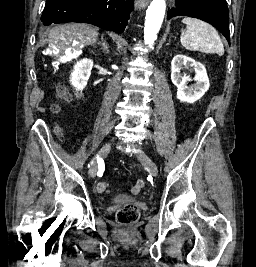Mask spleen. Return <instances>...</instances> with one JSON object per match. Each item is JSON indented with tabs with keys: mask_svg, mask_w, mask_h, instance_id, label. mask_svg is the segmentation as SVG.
Segmentation results:
<instances>
[{
	"mask_svg": "<svg viewBox=\"0 0 256 267\" xmlns=\"http://www.w3.org/2000/svg\"><path fill=\"white\" fill-rule=\"evenodd\" d=\"M185 30H181V44L190 52H203V54H218L223 56L225 50L221 38L210 24L196 20V18H184Z\"/></svg>",
	"mask_w": 256,
	"mask_h": 267,
	"instance_id": "3e777b00",
	"label": "spleen"
}]
</instances>
